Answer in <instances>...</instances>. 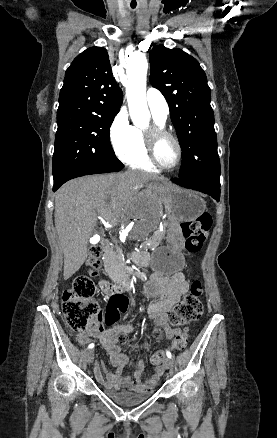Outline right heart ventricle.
Masks as SVG:
<instances>
[{"instance_id":"obj_1","label":"right heart ventricle","mask_w":277,"mask_h":438,"mask_svg":"<svg viewBox=\"0 0 277 438\" xmlns=\"http://www.w3.org/2000/svg\"><path fill=\"white\" fill-rule=\"evenodd\" d=\"M156 124L163 125L164 121L155 119ZM122 161L130 168L148 173L157 171V167L151 162L144 143V133L137 127H133V144L129 151L120 154Z\"/></svg>"}]
</instances>
